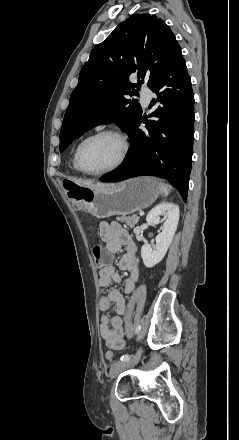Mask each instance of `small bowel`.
<instances>
[{
	"mask_svg": "<svg viewBox=\"0 0 239 440\" xmlns=\"http://www.w3.org/2000/svg\"><path fill=\"white\" fill-rule=\"evenodd\" d=\"M100 237L105 242V252L109 257L107 265L99 270V286L108 288L113 282L121 283L124 286L125 294L133 292L139 278L140 259L137 253V245L132 236L120 224L116 222H102L100 224ZM122 247L126 253L120 258L118 267L128 273L121 277L115 267L111 264L112 255ZM115 305V315L109 317L107 311ZM99 309L103 313L100 318V333L106 345L112 350H120L125 346L123 315L126 311L124 294L112 289L108 294L99 300Z\"/></svg>",
	"mask_w": 239,
	"mask_h": 440,
	"instance_id": "1",
	"label": "small bowel"
}]
</instances>
